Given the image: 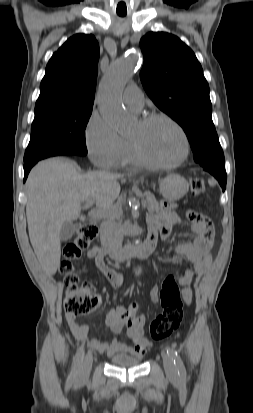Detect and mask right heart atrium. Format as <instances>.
Listing matches in <instances>:
<instances>
[{"label": "right heart atrium", "instance_id": "obj_1", "mask_svg": "<svg viewBox=\"0 0 253 413\" xmlns=\"http://www.w3.org/2000/svg\"><path fill=\"white\" fill-rule=\"evenodd\" d=\"M88 156L100 168L115 167L123 153L125 141L99 113L93 112L85 128Z\"/></svg>", "mask_w": 253, "mask_h": 413}]
</instances>
